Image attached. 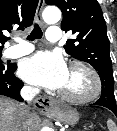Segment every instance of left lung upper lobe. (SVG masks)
<instances>
[{"mask_svg":"<svg viewBox=\"0 0 117 131\" xmlns=\"http://www.w3.org/2000/svg\"><path fill=\"white\" fill-rule=\"evenodd\" d=\"M45 2L61 9L62 30L72 31L76 36L75 39L67 40L64 45L66 52L78 60L91 64L98 71L102 90L106 88L111 94L108 103L115 104L109 39L97 0H45Z\"/></svg>","mask_w":117,"mask_h":131,"instance_id":"1","label":"left lung upper lobe"}]
</instances>
